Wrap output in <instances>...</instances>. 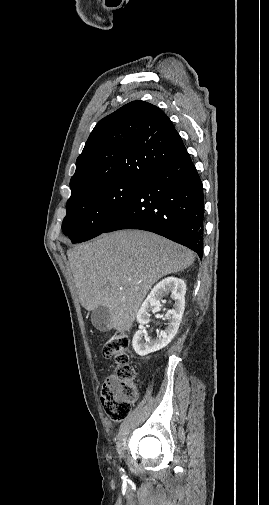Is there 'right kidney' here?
<instances>
[{
	"instance_id": "obj_1",
	"label": "right kidney",
	"mask_w": 269,
	"mask_h": 505,
	"mask_svg": "<svg viewBox=\"0 0 269 505\" xmlns=\"http://www.w3.org/2000/svg\"><path fill=\"white\" fill-rule=\"evenodd\" d=\"M168 293H171L175 303L173 309L165 314L167 327L156 338L149 339L144 325L150 321L151 312L160 311L162 298ZM185 293L184 280L176 277H167L154 286L137 313V321L142 327L133 336L132 346L138 355L146 356L156 352L166 347L175 337L184 313Z\"/></svg>"
}]
</instances>
